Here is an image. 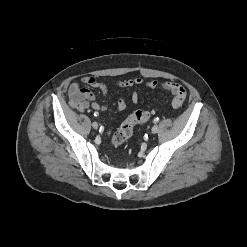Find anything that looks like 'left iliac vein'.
<instances>
[{
	"label": "left iliac vein",
	"instance_id": "4c4485c4",
	"mask_svg": "<svg viewBox=\"0 0 247 247\" xmlns=\"http://www.w3.org/2000/svg\"><path fill=\"white\" fill-rule=\"evenodd\" d=\"M151 132H152L153 134L157 133V132H158V126H157V125H154V126L152 127V129H151Z\"/></svg>",
	"mask_w": 247,
	"mask_h": 247
}]
</instances>
